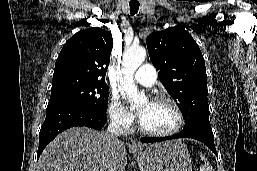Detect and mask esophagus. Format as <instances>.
<instances>
[{
  "label": "esophagus",
  "instance_id": "obj_1",
  "mask_svg": "<svg viewBox=\"0 0 257 171\" xmlns=\"http://www.w3.org/2000/svg\"><path fill=\"white\" fill-rule=\"evenodd\" d=\"M131 148H132L133 150H139V149H141V146H140L139 143H137L136 141H133V142L131 143Z\"/></svg>",
  "mask_w": 257,
  "mask_h": 171
}]
</instances>
